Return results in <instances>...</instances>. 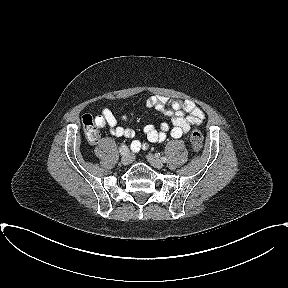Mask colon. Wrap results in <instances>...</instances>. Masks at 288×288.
<instances>
[{"mask_svg": "<svg viewBox=\"0 0 288 288\" xmlns=\"http://www.w3.org/2000/svg\"><path fill=\"white\" fill-rule=\"evenodd\" d=\"M82 124L85 132V136L89 142H96L99 138V131L96 127L95 121L91 115H84L82 117ZM190 143L194 151L199 152L203 147L202 133L194 129L190 135Z\"/></svg>", "mask_w": 288, "mask_h": 288, "instance_id": "obj_1", "label": "colon"}]
</instances>
